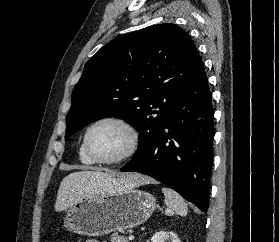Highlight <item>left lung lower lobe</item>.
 <instances>
[{
  "label": "left lung lower lobe",
  "instance_id": "left-lung-lower-lobe-1",
  "mask_svg": "<svg viewBox=\"0 0 279 242\" xmlns=\"http://www.w3.org/2000/svg\"><path fill=\"white\" fill-rule=\"evenodd\" d=\"M213 135L211 93L198 56L153 145L120 170L149 175L208 211Z\"/></svg>",
  "mask_w": 279,
  "mask_h": 242
}]
</instances>
